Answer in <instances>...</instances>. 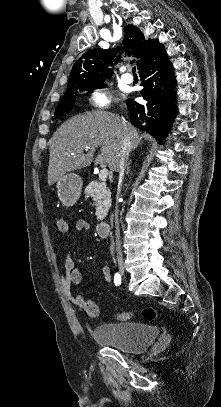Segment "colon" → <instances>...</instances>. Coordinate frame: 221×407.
<instances>
[{
	"label": "colon",
	"mask_w": 221,
	"mask_h": 407,
	"mask_svg": "<svg viewBox=\"0 0 221 407\" xmlns=\"http://www.w3.org/2000/svg\"><path fill=\"white\" fill-rule=\"evenodd\" d=\"M55 230L57 234L63 235L68 232V222L65 217H58L56 220ZM84 309L90 317H97L99 315L98 306L91 300H85ZM142 315L146 320H153L157 317V312L153 307H146L142 311ZM117 318L120 321L130 319V314L126 311L119 312Z\"/></svg>",
	"instance_id": "colon-1"
}]
</instances>
